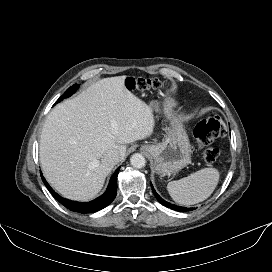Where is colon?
<instances>
[{"label": "colon", "instance_id": "5ec220e1", "mask_svg": "<svg viewBox=\"0 0 272 272\" xmlns=\"http://www.w3.org/2000/svg\"><path fill=\"white\" fill-rule=\"evenodd\" d=\"M126 85L131 90L139 91L160 90L165 86V84L158 79L148 78H129ZM225 132L226 127L222 119L212 117L199 122L194 128L193 134L198 145L204 147L223 136ZM202 155L207 163H213L219 156V150L214 147H208L203 151Z\"/></svg>", "mask_w": 272, "mask_h": 272}]
</instances>
